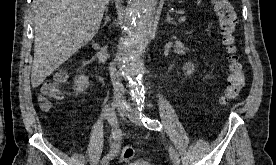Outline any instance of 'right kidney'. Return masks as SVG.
Returning <instances> with one entry per match:
<instances>
[{
  "label": "right kidney",
  "instance_id": "1",
  "mask_svg": "<svg viewBox=\"0 0 276 165\" xmlns=\"http://www.w3.org/2000/svg\"><path fill=\"white\" fill-rule=\"evenodd\" d=\"M89 86V78L85 75L78 76L74 81V91L81 93L85 91Z\"/></svg>",
  "mask_w": 276,
  "mask_h": 165
}]
</instances>
